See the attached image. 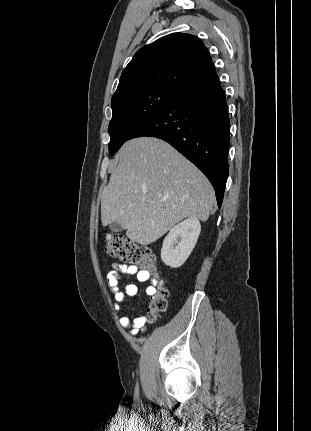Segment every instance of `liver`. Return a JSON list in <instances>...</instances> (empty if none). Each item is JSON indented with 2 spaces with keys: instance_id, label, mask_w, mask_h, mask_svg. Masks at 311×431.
I'll use <instances>...</instances> for the list:
<instances>
[{
  "instance_id": "liver-1",
  "label": "liver",
  "mask_w": 311,
  "mask_h": 431,
  "mask_svg": "<svg viewBox=\"0 0 311 431\" xmlns=\"http://www.w3.org/2000/svg\"><path fill=\"white\" fill-rule=\"evenodd\" d=\"M119 164L101 196V221H117L130 241L148 245L184 217L207 221L214 190L202 172L157 138L122 146Z\"/></svg>"
}]
</instances>
